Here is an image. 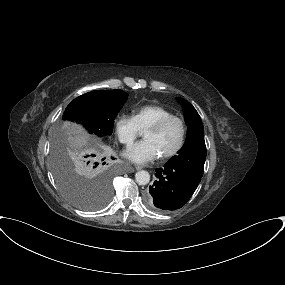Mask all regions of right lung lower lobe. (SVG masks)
Here are the masks:
<instances>
[{"instance_id": "right-lung-lower-lobe-1", "label": "right lung lower lobe", "mask_w": 285, "mask_h": 285, "mask_svg": "<svg viewBox=\"0 0 285 285\" xmlns=\"http://www.w3.org/2000/svg\"><path fill=\"white\" fill-rule=\"evenodd\" d=\"M113 159V158H112ZM99 169V167L94 166L93 168H91L92 171H94V173L97 172V170Z\"/></svg>"}]
</instances>
